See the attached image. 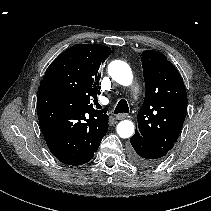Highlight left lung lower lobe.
Returning a JSON list of instances; mask_svg holds the SVG:
<instances>
[{
  "instance_id": "obj_1",
  "label": "left lung lower lobe",
  "mask_w": 211,
  "mask_h": 211,
  "mask_svg": "<svg viewBox=\"0 0 211 211\" xmlns=\"http://www.w3.org/2000/svg\"><path fill=\"white\" fill-rule=\"evenodd\" d=\"M130 161L139 167H153L159 164L168 151L135 133L130 138Z\"/></svg>"
}]
</instances>
